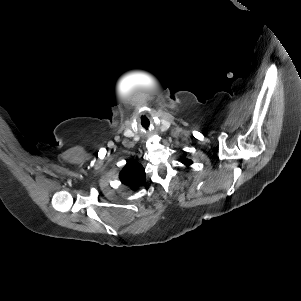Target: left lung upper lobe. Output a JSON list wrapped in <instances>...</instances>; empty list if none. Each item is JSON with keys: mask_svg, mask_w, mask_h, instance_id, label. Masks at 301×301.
Listing matches in <instances>:
<instances>
[{"mask_svg": "<svg viewBox=\"0 0 301 301\" xmlns=\"http://www.w3.org/2000/svg\"><path fill=\"white\" fill-rule=\"evenodd\" d=\"M183 163H184L186 166H189V165L192 164V161L185 158V159H183Z\"/></svg>", "mask_w": 301, "mask_h": 301, "instance_id": "5c2ea615", "label": "left lung upper lobe"}]
</instances>
